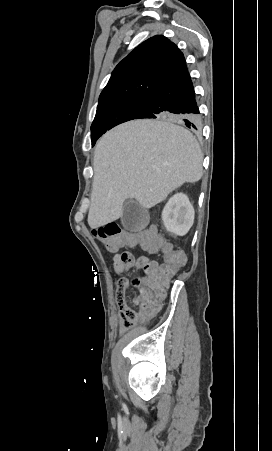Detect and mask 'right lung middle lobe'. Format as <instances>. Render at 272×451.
I'll return each mask as SVG.
<instances>
[{
    "mask_svg": "<svg viewBox=\"0 0 272 451\" xmlns=\"http://www.w3.org/2000/svg\"><path fill=\"white\" fill-rule=\"evenodd\" d=\"M150 97H129L99 104L91 125V140L95 141L107 130L136 119L147 107Z\"/></svg>",
    "mask_w": 272,
    "mask_h": 451,
    "instance_id": "1",
    "label": "right lung middle lobe"
}]
</instances>
